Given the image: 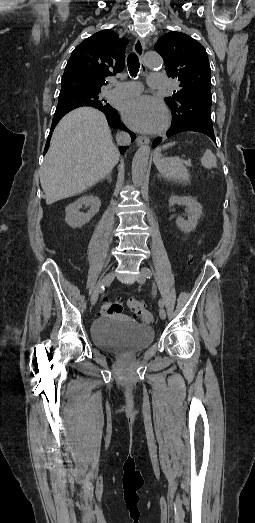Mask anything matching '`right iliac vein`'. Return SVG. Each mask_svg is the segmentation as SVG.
I'll list each match as a JSON object with an SVG mask.
<instances>
[{"label": "right iliac vein", "mask_w": 255, "mask_h": 523, "mask_svg": "<svg viewBox=\"0 0 255 523\" xmlns=\"http://www.w3.org/2000/svg\"><path fill=\"white\" fill-rule=\"evenodd\" d=\"M115 277V272H110L108 273L103 279L102 281L100 282V284L98 285V287L95 289L92 297H91V304H95L98 300V296L99 294L101 293L102 291V286H105V285H108L109 283H111L113 281Z\"/></svg>", "instance_id": "63e3f726"}]
</instances>
